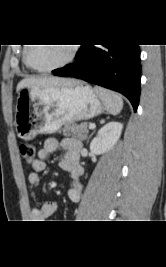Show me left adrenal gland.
Wrapping results in <instances>:
<instances>
[{
    "label": "left adrenal gland",
    "instance_id": "left-adrenal-gland-1",
    "mask_svg": "<svg viewBox=\"0 0 166 267\" xmlns=\"http://www.w3.org/2000/svg\"><path fill=\"white\" fill-rule=\"evenodd\" d=\"M94 133V132H93ZM93 133L89 136V138H88V142H89V139L91 138V136L93 135Z\"/></svg>",
    "mask_w": 166,
    "mask_h": 267
}]
</instances>
